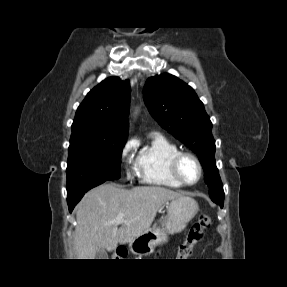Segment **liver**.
<instances>
[{"mask_svg":"<svg viewBox=\"0 0 287 287\" xmlns=\"http://www.w3.org/2000/svg\"><path fill=\"white\" fill-rule=\"evenodd\" d=\"M182 194L159 186H140L131 190L108 183L89 191L77 206L74 249L77 259H96L100 249L113 251L141 235L157 211ZM124 222L116 223L119 214Z\"/></svg>","mask_w":287,"mask_h":287,"instance_id":"liver-1","label":"liver"}]
</instances>
